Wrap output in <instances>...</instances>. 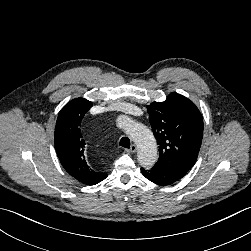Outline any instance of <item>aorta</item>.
Returning a JSON list of instances; mask_svg holds the SVG:
<instances>
[{
	"label": "aorta",
	"mask_w": 251,
	"mask_h": 251,
	"mask_svg": "<svg viewBox=\"0 0 251 251\" xmlns=\"http://www.w3.org/2000/svg\"><path fill=\"white\" fill-rule=\"evenodd\" d=\"M125 130L138 147L139 164L144 168L152 167L157 160V143L153 133L143 124L131 121Z\"/></svg>",
	"instance_id": "obj_1"
}]
</instances>
